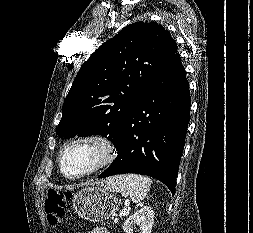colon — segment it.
Wrapping results in <instances>:
<instances>
[{
	"instance_id": "5ec220e1",
	"label": "colon",
	"mask_w": 253,
	"mask_h": 233,
	"mask_svg": "<svg viewBox=\"0 0 253 233\" xmlns=\"http://www.w3.org/2000/svg\"><path fill=\"white\" fill-rule=\"evenodd\" d=\"M69 199L70 194L68 193L55 189L48 190L45 200V211L51 226H56L63 220Z\"/></svg>"
}]
</instances>
